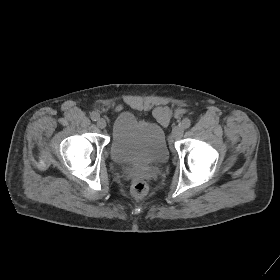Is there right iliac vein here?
I'll list each match as a JSON object with an SVG mask.
<instances>
[{
  "label": "right iliac vein",
  "mask_w": 280,
  "mask_h": 280,
  "mask_svg": "<svg viewBox=\"0 0 280 280\" xmlns=\"http://www.w3.org/2000/svg\"><path fill=\"white\" fill-rule=\"evenodd\" d=\"M107 123H106V120L103 119V118H99L98 121H97V126L100 128V129H104L106 127Z\"/></svg>",
  "instance_id": "right-iliac-vein-1"
}]
</instances>
